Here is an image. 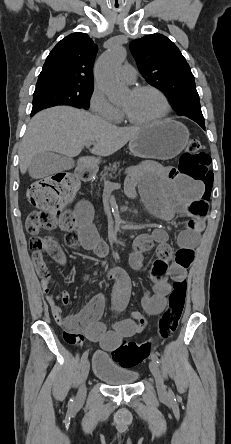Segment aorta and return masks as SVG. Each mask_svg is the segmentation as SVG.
<instances>
[{"label":"aorta","mask_w":231,"mask_h":444,"mask_svg":"<svg viewBox=\"0 0 231 444\" xmlns=\"http://www.w3.org/2000/svg\"><path fill=\"white\" fill-rule=\"evenodd\" d=\"M125 57V48L116 45L104 53L96 63L97 82L112 102L122 99L127 92V88L119 82L116 75Z\"/></svg>","instance_id":"aorta-1"}]
</instances>
